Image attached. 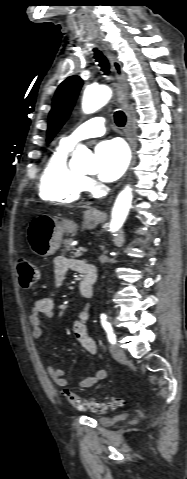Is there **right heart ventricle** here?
Masks as SVG:
<instances>
[{
    "label": "right heart ventricle",
    "instance_id": "1",
    "mask_svg": "<svg viewBox=\"0 0 187 479\" xmlns=\"http://www.w3.org/2000/svg\"><path fill=\"white\" fill-rule=\"evenodd\" d=\"M71 146L62 141L49 155L39 182L40 197L49 202L72 203L84 189V177L68 163Z\"/></svg>",
    "mask_w": 187,
    "mask_h": 479
}]
</instances>
